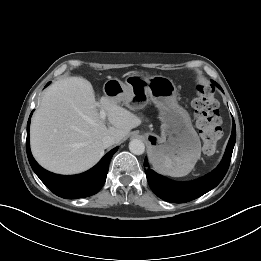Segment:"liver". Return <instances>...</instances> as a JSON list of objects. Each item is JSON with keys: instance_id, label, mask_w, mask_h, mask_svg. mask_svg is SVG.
<instances>
[{"instance_id": "1", "label": "liver", "mask_w": 261, "mask_h": 261, "mask_svg": "<svg viewBox=\"0 0 261 261\" xmlns=\"http://www.w3.org/2000/svg\"><path fill=\"white\" fill-rule=\"evenodd\" d=\"M99 104L107 113L108 127L100 118L89 81L70 77L53 83L31 122L30 145L36 161L59 174L84 172L104 155V136H113L118 143L141 124L140 118L106 96Z\"/></svg>"}]
</instances>
